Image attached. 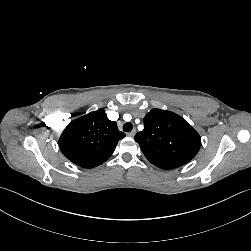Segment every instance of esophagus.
Instances as JSON below:
<instances>
[{
  "label": "esophagus",
  "instance_id": "obj_1",
  "mask_svg": "<svg viewBox=\"0 0 251 251\" xmlns=\"http://www.w3.org/2000/svg\"><path fill=\"white\" fill-rule=\"evenodd\" d=\"M136 134V129H133L131 132L128 133V136L134 137Z\"/></svg>",
  "mask_w": 251,
  "mask_h": 251
}]
</instances>
